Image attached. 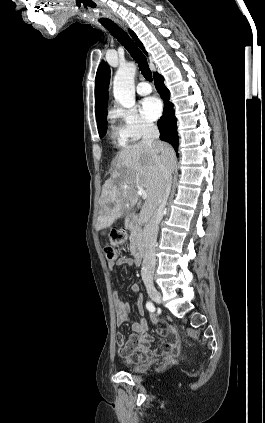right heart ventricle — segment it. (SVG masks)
<instances>
[{
  "instance_id": "e07e8e85",
  "label": "right heart ventricle",
  "mask_w": 265,
  "mask_h": 423,
  "mask_svg": "<svg viewBox=\"0 0 265 423\" xmlns=\"http://www.w3.org/2000/svg\"><path fill=\"white\" fill-rule=\"evenodd\" d=\"M112 136H113V139L114 140H118L120 142L125 141L124 138H123V136L121 135V132L118 129H114L113 130V135Z\"/></svg>"
}]
</instances>
